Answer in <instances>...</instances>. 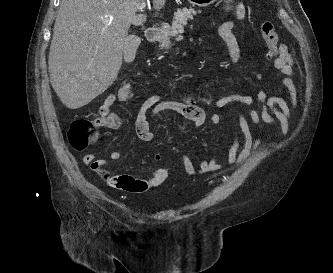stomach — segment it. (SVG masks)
<instances>
[{"label": "stomach", "instance_id": "1", "mask_svg": "<svg viewBox=\"0 0 333 273\" xmlns=\"http://www.w3.org/2000/svg\"><path fill=\"white\" fill-rule=\"evenodd\" d=\"M188 1L193 6L206 7V6H209V5L213 4L217 0H188ZM158 41H159L160 47L162 49H168V48L171 47L172 44L170 42V32L168 31V29L163 31L159 35Z\"/></svg>", "mask_w": 333, "mask_h": 273}]
</instances>
